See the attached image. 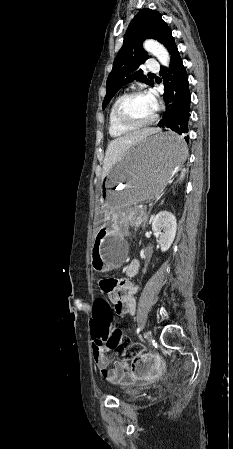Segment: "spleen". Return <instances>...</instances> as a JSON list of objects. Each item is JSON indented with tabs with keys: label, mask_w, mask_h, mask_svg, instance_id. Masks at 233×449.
Listing matches in <instances>:
<instances>
[{
	"label": "spleen",
	"mask_w": 233,
	"mask_h": 449,
	"mask_svg": "<svg viewBox=\"0 0 233 449\" xmlns=\"http://www.w3.org/2000/svg\"><path fill=\"white\" fill-rule=\"evenodd\" d=\"M184 176H185V169L182 170L181 175H180V179H179V180L182 181L183 178H184Z\"/></svg>",
	"instance_id": "obj_1"
}]
</instances>
